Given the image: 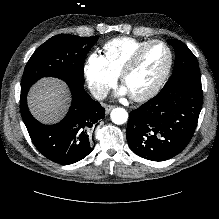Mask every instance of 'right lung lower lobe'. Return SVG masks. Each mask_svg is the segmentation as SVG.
Returning a JSON list of instances; mask_svg holds the SVG:
<instances>
[{"label":"right lung lower lobe","mask_w":219,"mask_h":219,"mask_svg":"<svg viewBox=\"0 0 219 219\" xmlns=\"http://www.w3.org/2000/svg\"><path fill=\"white\" fill-rule=\"evenodd\" d=\"M72 92L71 107L62 121L43 125L29 112L27 92H21L20 111L36 148L49 160L71 164L85 158L93 149L88 132L105 117V109L90 98L83 84L67 83Z\"/></svg>","instance_id":"right-lung-lower-lobe-1"}]
</instances>
